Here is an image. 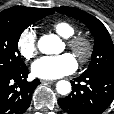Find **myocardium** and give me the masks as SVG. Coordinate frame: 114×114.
Masks as SVG:
<instances>
[{"label":"myocardium","instance_id":"obj_1","mask_svg":"<svg viewBox=\"0 0 114 114\" xmlns=\"http://www.w3.org/2000/svg\"><path fill=\"white\" fill-rule=\"evenodd\" d=\"M67 46L81 63H86L94 51L92 40L85 35H73L67 38Z\"/></svg>","mask_w":114,"mask_h":114}]
</instances>
